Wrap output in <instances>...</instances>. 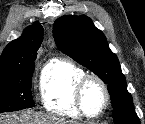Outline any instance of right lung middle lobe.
<instances>
[{"instance_id": "right-lung-middle-lobe-1", "label": "right lung middle lobe", "mask_w": 145, "mask_h": 124, "mask_svg": "<svg viewBox=\"0 0 145 124\" xmlns=\"http://www.w3.org/2000/svg\"><path fill=\"white\" fill-rule=\"evenodd\" d=\"M35 63L10 71H0V113L34 107L31 78Z\"/></svg>"}]
</instances>
